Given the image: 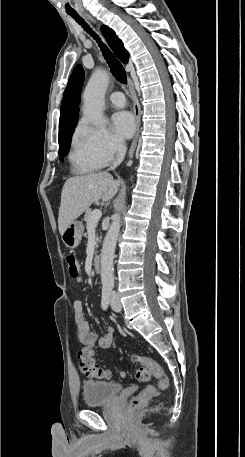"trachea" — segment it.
<instances>
[{
  "label": "trachea",
  "mask_w": 245,
  "mask_h": 457,
  "mask_svg": "<svg viewBox=\"0 0 245 457\" xmlns=\"http://www.w3.org/2000/svg\"><path fill=\"white\" fill-rule=\"evenodd\" d=\"M68 15L72 16L80 25L83 26V28L88 32L90 33V35H92L95 40L98 42L100 48H101V51L105 57V60L107 61L109 67H110V70L112 72V74L114 75V77L116 78V80H118V82L120 83H124L125 85L127 84V76H126V72L123 68V65H121V63L119 62V60H117V58L113 55L112 52H110V50L108 49V47H106V45L103 44V42H101V40L99 39L98 35H96L90 28L88 25H86V23L84 22L83 19H81V17H79V15L77 13H69Z\"/></svg>",
  "instance_id": "3493384b"
}]
</instances>
